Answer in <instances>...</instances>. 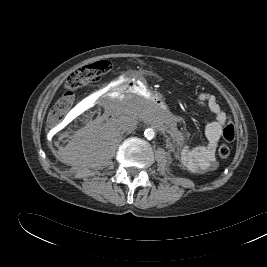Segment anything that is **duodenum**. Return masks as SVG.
Listing matches in <instances>:
<instances>
[{
    "label": "duodenum",
    "mask_w": 267,
    "mask_h": 267,
    "mask_svg": "<svg viewBox=\"0 0 267 267\" xmlns=\"http://www.w3.org/2000/svg\"><path fill=\"white\" fill-rule=\"evenodd\" d=\"M116 94L132 93L138 98H143L154 108L167 109V105L154 93L145 91L144 87L138 80H121L115 88Z\"/></svg>",
    "instance_id": "duodenum-1"
}]
</instances>
